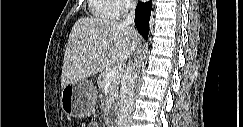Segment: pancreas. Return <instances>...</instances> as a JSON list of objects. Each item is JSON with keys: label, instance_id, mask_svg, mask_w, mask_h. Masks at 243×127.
Listing matches in <instances>:
<instances>
[{"label": "pancreas", "instance_id": "obj_1", "mask_svg": "<svg viewBox=\"0 0 243 127\" xmlns=\"http://www.w3.org/2000/svg\"><path fill=\"white\" fill-rule=\"evenodd\" d=\"M108 71L103 72L102 74L99 75L98 80H97V85L99 89L103 92L104 94V101L106 105V110L112 109L118 100V85H119V80L115 79L113 82H111L109 85H106L104 83V78L106 76Z\"/></svg>", "mask_w": 243, "mask_h": 127}]
</instances>
